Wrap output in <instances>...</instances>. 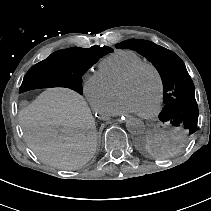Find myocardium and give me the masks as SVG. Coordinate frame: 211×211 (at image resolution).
I'll list each match as a JSON object with an SVG mask.
<instances>
[{"label": "myocardium", "mask_w": 211, "mask_h": 211, "mask_svg": "<svg viewBox=\"0 0 211 211\" xmlns=\"http://www.w3.org/2000/svg\"><path fill=\"white\" fill-rule=\"evenodd\" d=\"M143 68H150L154 72V74L157 78V81H158V97H157V101H156L154 107L148 112L137 113L140 117L150 118L158 113V111L160 110V108L162 106L163 100H164V91H165L164 80H163V76H162L160 70L157 68L156 65H154L151 62H142V63L136 65L130 71H128L122 78H120L117 81L116 89L119 85L132 80L136 76V74Z\"/></svg>", "instance_id": "obj_1"}]
</instances>
